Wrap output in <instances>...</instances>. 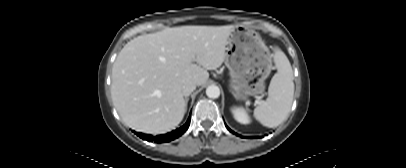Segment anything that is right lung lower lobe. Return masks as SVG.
Segmentation results:
<instances>
[{"mask_svg":"<svg viewBox=\"0 0 406 168\" xmlns=\"http://www.w3.org/2000/svg\"><path fill=\"white\" fill-rule=\"evenodd\" d=\"M190 116L187 120V122L180 128L173 130L172 132H169L167 134H163V135H158V136H151L148 134H142V133H138L135 132L136 135H138L140 138L147 140L149 142L155 141L156 143H164V142H170L178 137H180L184 132H186V130L188 129L189 125H190Z\"/></svg>","mask_w":406,"mask_h":168,"instance_id":"1","label":"right lung lower lobe"}]
</instances>
